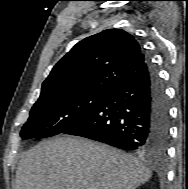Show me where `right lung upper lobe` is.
Returning <instances> with one entry per match:
<instances>
[{"instance_id":"obj_1","label":"right lung upper lobe","mask_w":188,"mask_h":189,"mask_svg":"<svg viewBox=\"0 0 188 189\" xmlns=\"http://www.w3.org/2000/svg\"><path fill=\"white\" fill-rule=\"evenodd\" d=\"M147 71L146 56L131 34L104 30L77 43L53 67L40 97L93 88L114 90Z\"/></svg>"}]
</instances>
